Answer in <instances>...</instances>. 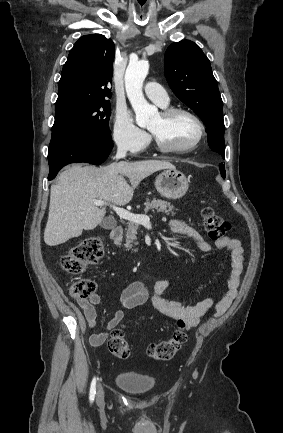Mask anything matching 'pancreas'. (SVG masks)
Returning a JSON list of instances; mask_svg holds the SVG:
<instances>
[{
    "label": "pancreas",
    "mask_w": 283,
    "mask_h": 433,
    "mask_svg": "<svg viewBox=\"0 0 283 433\" xmlns=\"http://www.w3.org/2000/svg\"><path fill=\"white\" fill-rule=\"evenodd\" d=\"M144 204V212H148V210H151V208H153V210L154 208H156L157 212H167V214H172V217H174L175 212H173V206L172 204H170V202H167V200H162V198H153L151 202H144ZM175 210H178V208H175ZM138 229V223H129L125 243V247H128V249H131V247H133L131 243H134V241H136ZM132 251H134V253H137V249H132Z\"/></svg>",
    "instance_id": "obj_1"
}]
</instances>
